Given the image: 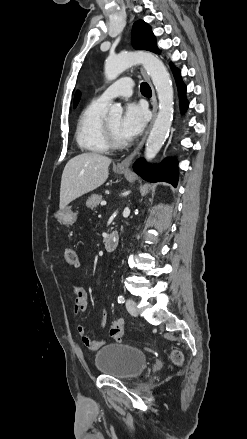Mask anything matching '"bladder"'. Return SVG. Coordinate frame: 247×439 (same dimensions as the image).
<instances>
[{"label":"bladder","mask_w":247,"mask_h":439,"mask_svg":"<svg viewBox=\"0 0 247 439\" xmlns=\"http://www.w3.org/2000/svg\"><path fill=\"white\" fill-rule=\"evenodd\" d=\"M147 365V356L139 348L126 344H109L95 355L97 370L119 379L138 376Z\"/></svg>","instance_id":"31cf9c89"}]
</instances>
